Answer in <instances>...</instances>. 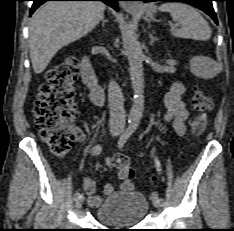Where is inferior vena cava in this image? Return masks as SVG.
I'll return each instance as SVG.
<instances>
[{"instance_id": "inferior-vena-cava-1", "label": "inferior vena cava", "mask_w": 234, "mask_h": 231, "mask_svg": "<svg viewBox=\"0 0 234 231\" xmlns=\"http://www.w3.org/2000/svg\"><path fill=\"white\" fill-rule=\"evenodd\" d=\"M108 101L110 109V126H123L125 124L123 95L120 86L114 80H111L109 83Z\"/></svg>"}]
</instances>
